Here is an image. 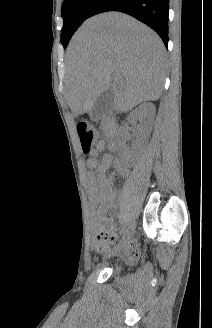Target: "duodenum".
Masks as SVG:
<instances>
[{"mask_svg":"<svg viewBox=\"0 0 212 328\" xmlns=\"http://www.w3.org/2000/svg\"><path fill=\"white\" fill-rule=\"evenodd\" d=\"M104 129L112 139H115L117 137L118 125L113 116L106 115L104 117Z\"/></svg>","mask_w":212,"mask_h":328,"instance_id":"410a0bca","label":"duodenum"}]
</instances>
